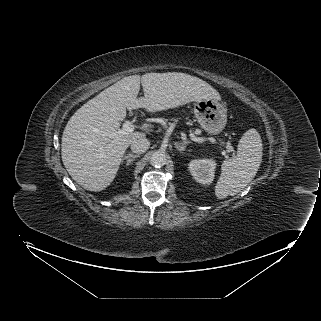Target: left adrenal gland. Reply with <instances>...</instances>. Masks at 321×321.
Returning a JSON list of instances; mask_svg holds the SVG:
<instances>
[{
  "label": "left adrenal gland",
  "mask_w": 321,
  "mask_h": 321,
  "mask_svg": "<svg viewBox=\"0 0 321 321\" xmlns=\"http://www.w3.org/2000/svg\"><path fill=\"white\" fill-rule=\"evenodd\" d=\"M189 141H184L182 143H175V148L179 150L180 152H183L186 149V146L190 144Z\"/></svg>",
  "instance_id": "1"
}]
</instances>
